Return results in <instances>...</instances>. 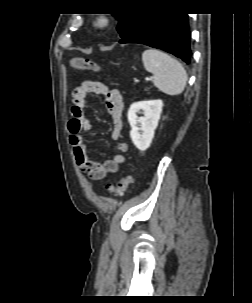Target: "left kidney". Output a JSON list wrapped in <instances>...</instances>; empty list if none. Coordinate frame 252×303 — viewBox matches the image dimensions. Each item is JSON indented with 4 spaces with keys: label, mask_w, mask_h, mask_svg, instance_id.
<instances>
[{
    "label": "left kidney",
    "mask_w": 252,
    "mask_h": 303,
    "mask_svg": "<svg viewBox=\"0 0 252 303\" xmlns=\"http://www.w3.org/2000/svg\"><path fill=\"white\" fill-rule=\"evenodd\" d=\"M162 107V100L140 101L130 106L127 114L131 126L130 137L140 151L149 148L158 126ZM140 110L143 111V117L137 116Z\"/></svg>",
    "instance_id": "1"
}]
</instances>
